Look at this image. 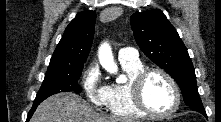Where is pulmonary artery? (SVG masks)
<instances>
[{"label": "pulmonary artery", "mask_w": 221, "mask_h": 122, "mask_svg": "<svg viewBox=\"0 0 221 122\" xmlns=\"http://www.w3.org/2000/svg\"><path fill=\"white\" fill-rule=\"evenodd\" d=\"M118 58L120 61H127L131 63L140 62L137 50L132 47L121 48L118 52Z\"/></svg>", "instance_id": "pulmonary-artery-1"}]
</instances>
